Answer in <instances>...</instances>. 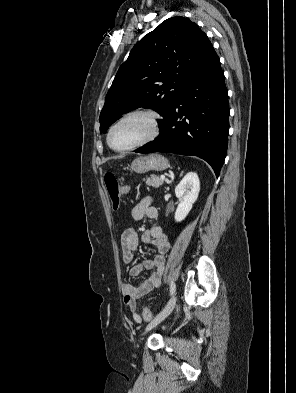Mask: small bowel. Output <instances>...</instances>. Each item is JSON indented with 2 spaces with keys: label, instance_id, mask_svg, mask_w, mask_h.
<instances>
[{
  "label": "small bowel",
  "instance_id": "small-bowel-1",
  "mask_svg": "<svg viewBox=\"0 0 296 393\" xmlns=\"http://www.w3.org/2000/svg\"><path fill=\"white\" fill-rule=\"evenodd\" d=\"M130 215L135 221L142 220L143 218L153 221L157 217V210L150 205V199L145 198L131 209ZM141 241L155 248L157 254L152 259H144L142 262L133 265L129 273L132 277H136L144 268L150 269L153 272L149 278L139 283L125 282L122 284L124 303L128 307L131 317L138 323L141 322V317L137 313V300L161 285L165 255L170 249V242L159 226H151L145 230L141 235ZM138 245L139 237L133 228H128L122 232L120 247L125 263H131L133 261L134 252L137 250Z\"/></svg>",
  "mask_w": 296,
  "mask_h": 393
}]
</instances>
